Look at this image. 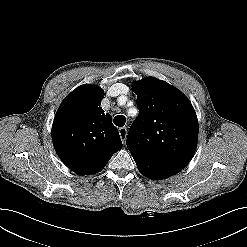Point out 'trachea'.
<instances>
[{"mask_svg":"<svg viewBox=\"0 0 247 247\" xmlns=\"http://www.w3.org/2000/svg\"><path fill=\"white\" fill-rule=\"evenodd\" d=\"M114 124L118 127H122L125 125L126 122V118L123 115H117L114 120H113Z\"/></svg>","mask_w":247,"mask_h":247,"instance_id":"1","label":"trachea"}]
</instances>
